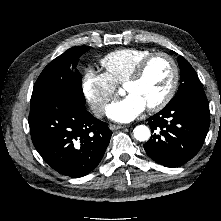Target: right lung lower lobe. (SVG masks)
<instances>
[{
  "mask_svg": "<svg viewBox=\"0 0 221 221\" xmlns=\"http://www.w3.org/2000/svg\"><path fill=\"white\" fill-rule=\"evenodd\" d=\"M31 138L42 158L57 172L82 177L101 161L112 131L93 117L85 103L70 95H58L31 107Z\"/></svg>",
  "mask_w": 221,
  "mask_h": 221,
  "instance_id": "98d812e1",
  "label": "right lung lower lobe"
}]
</instances>
